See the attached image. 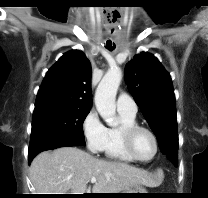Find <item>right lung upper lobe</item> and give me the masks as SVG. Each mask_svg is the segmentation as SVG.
<instances>
[{"instance_id": "1", "label": "right lung upper lobe", "mask_w": 208, "mask_h": 198, "mask_svg": "<svg viewBox=\"0 0 208 198\" xmlns=\"http://www.w3.org/2000/svg\"><path fill=\"white\" fill-rule=\"evenodd\" d=\"M49 105L91 108V65L83 52L65 53L46 73L35 108Z\"/></svg>"}]
</instances>
